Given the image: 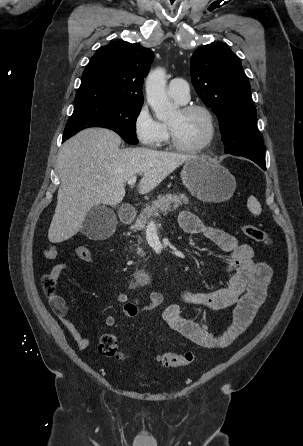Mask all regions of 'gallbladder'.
<instances>
[{
    "label": "gallbladder",
    "mask_w": 303,
    "mask_h": 446,
    "mask_svg": "<svg viewBox=\"0 0 303 446\" xmlns=\"http://www.w3.org/2000/svg\"><path fill=\"white\" fill-rule=\"evenodd\" d=\"M114 212L105 206H95L86 216L81 232L88 238L100 240L108 237L115 229Z\"/></svg>",
    "instance_id": "bac80fb5"
}]
</instances>
